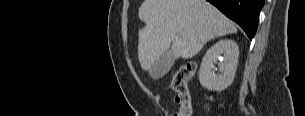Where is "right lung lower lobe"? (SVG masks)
Wrapping results in <instances>:
<instances>
[{
    "mask_svg": "<svg viewBox=\"0 0 305 116\" xmlns=\"http://www.w3.org/2000/svg\"><path fill=\"white\" fill-rule=\"evenodd\" d=\"M234 20L252 39L256 33L260 10L265 0H207Z\"/></svg>",
    "mask_w": 305,
    "mask_h": 116,
    "instance_id": "98d812e1",
    "label": "right lung lower lobe"
}]
</instances>
